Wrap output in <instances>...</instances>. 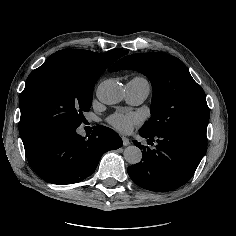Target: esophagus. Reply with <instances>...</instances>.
<instances>
[{"label":"esophagus","mask_w":236,"mask_h":236,"mask_svg":"<svg viewBox=\"0 0 236 236\" xmlns=\"http://www.w3.org/2000/svg\"><path fill=\"white\" fill-rule=\"evenodd\" d=\"M122 141H123V145L124 146H127L130 144V140L129 138L125 137V136H122Z\"/></svg>","instance_id":"esophagus-1"}]
</instances>
